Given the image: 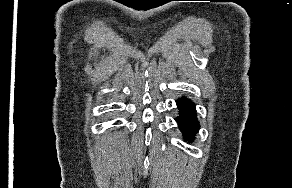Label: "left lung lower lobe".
<instances>
[{
    "label": "left lung lower lobe",
    "mask_w": 292,
    "mask_h": 188,
    "mask_svg": "<svg viewBox=\"0 0 292 188\" xmlns=\"http://www.w3.org/2000/svg\"><path fill=\"white\" fill-rule=\"evenodd\" d=\"M176 103L180 112L176 121L179 124V129L183 133L185 140L189 141L194 138L199 130L195 106L185 98L178 99Z\"/></svg>",
    "instance_id": "obj_1"
}]
</instances>
